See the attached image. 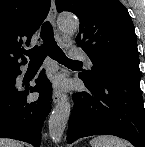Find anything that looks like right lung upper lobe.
<instances>
[{
	"mask_svg": "<svg viewBox=\"0 0 145 147\" xmlns=\"http://www.w3.org/2000/svg\"><path fill=\"white\" fill-rule=\"evenodd\" d=\"M49 8L50 0H0V74L26 62L22 44L29 45Z\"/></svg>",
	"mask_w": 145,
	"mask_h": 147,
	"instance_id": "obj_1",
	"label": "right lung upper lobe"
}]
</instances>
